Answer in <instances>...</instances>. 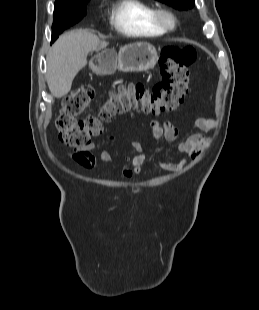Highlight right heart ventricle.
I'll return each instance as SVG.
<instances>
[{
	"mask_svg": "<svg viewBox=\"0 0 259 310\" xmlns=\"http://www.w3.org/2000/svg\"><path fill=\"white\" fill-rule=\"evenodd\" d=\"M154 7L144 0H116L110 10V23L130 37H157L166 33L153 20Z\"/></svg>",
	"mask_w": 259,
	"mask_h": 310,
	"instance_id": "obj_1",
	"label": "right heart ventricle"
}]
</instances>
